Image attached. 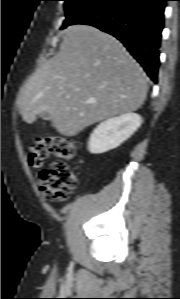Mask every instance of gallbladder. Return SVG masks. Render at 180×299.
<instances>
[{
    "label": "gallbladder",
    "instance_id": "bac80fb5",
    "mask_svg": "<svg viewBox=\"0 0 180 299\" xmlns=\"http://www.w3.org/2000/svg\"><path fill=\"white\" fill-rule=\"evenodd\" d=\"M40 117L43 119V120H50L51 117H50V114L48 112H44L40 115Z\"/></svg>",
    "mask_w": 180,
    "mask_h": 299
}]
</instances>
